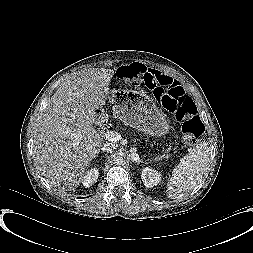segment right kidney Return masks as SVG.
<instances>
[{
	"instance_id": "ca27d5eb",
	"label": "right kidney",
	"mask_w": 253,
	"mask_h": 253,
	"mask_svg": "<svg viewBox=\"0 0 253 253\" xmlns=\"http://www.w3.org/2000/svg\"><path fill=\"white\" fill-rule=\"evenodd\" d=\"M99 175V170L97 168H91L88 170L82 180V184L87 188L92 184L96 183Z\"/></svg>"
}]
</instances>
